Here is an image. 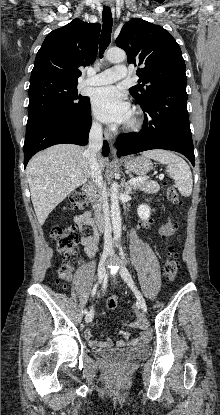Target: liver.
Segmentation results:
<instances>
[{
	"instance_id": "1",
	"label": "liver",
	"mask_w": 220,
	"mask_h": 415,
	"mask_svg": "<svg viewBox=\"0 0 220 415\" xmlns=\"http://www.w3.org/2000/svg\"><path fill=\"white\" fill-rule=\"evenodd\" d=\"M86 152L85 147L59 144L38 153L29 161L26 174L40 225L59 203L90 178ZM98 162L103 170L105 161L101 155Z\"/></svg>"
}]
</instances>
